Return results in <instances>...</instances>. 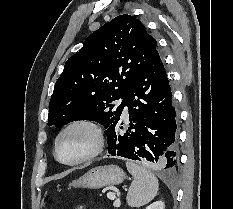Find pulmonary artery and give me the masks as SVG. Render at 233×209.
I'll use <instances>...</instances> for the list:
<instances>
[{
	"label": "pulmonary artery",
	"instance_id": "pulmonary-artery-1",
	"mask_svg": "<svg viewBox=\"0 0 233 209\" xmlns=\"http://www.w3.org/2000/svg\"><path fill=\"white\" fill-rule=\"evenodd\" d=\"M120 102H121V101H119V103H120ZM123 114H124L125 117H127V115H128V113H127V108L124 109V113H123Z\"/></svg>",
	"mask_w": 233,
	"mask_h": 209
}]
</instances>
